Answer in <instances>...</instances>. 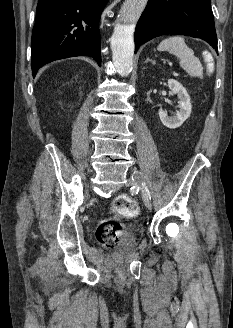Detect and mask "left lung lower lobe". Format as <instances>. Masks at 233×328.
<instances>
[{"label":"left lung lower lobe","instance_id":"obj_1","mask_svg":"<svg viewBox=\"0 0 233 328\" xmlns=\"http://www.w3.org/2000/svg\"><path fill=\"white\" fill-rule=\"evenodd\" d=\"M164 34L207 41L217 51L210 0H149L135 30V53L144 42Z\"/></svg>","mask_w":233,"mask_h":328}]
</instances>
